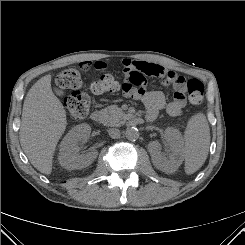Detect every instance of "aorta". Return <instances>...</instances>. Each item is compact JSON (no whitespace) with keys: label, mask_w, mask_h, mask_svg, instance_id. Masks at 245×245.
Here are the masks:
<instances>
[{"label":"aorta","mask_w":245,"mask_h":245,"mask_svg":"<svg viewBox=\"0 0 245 245\" xmlns=\"http://www.w3.org/2000/svg\"><path fill=\"white\" fill-rule=\"evenodd\" d=\"M125 137L130 141H135L139 138V131L136 127H129L125 131Z\"/></svg>","instance_id":"1"}]
</instances>
